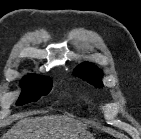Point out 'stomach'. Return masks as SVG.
I'll return each instance as SVG.
<instances>
[{
    "label": "stomach",
    "mask_w": 141,
    "mask_h": 139,
    "mask_svg": "<svg viewBox=\"0 0 141 139\" xmlns=\"http://www.w3.org/2000/svg\"><path fill=\"white\" fill-rule=\"evenodd\" d=\"M78 139H94L90 134L81 135Z\"/></svg>",
    "instance_id": "obj_1"
}]
</instances>
